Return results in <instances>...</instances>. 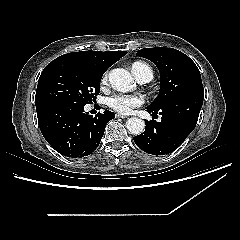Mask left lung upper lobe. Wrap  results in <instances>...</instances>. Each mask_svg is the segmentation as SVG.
<instances>
[{"instance_id":"1","label":"left lung upper lobe","mask_w":240,"mask_h":240,"mask_svg":"<svg viewBox=\"0 0 240 240\" xmlns=\"http://www.w3.org/2000/svg\"><path fill=\"white\" fill-rule=\"evenodd\" d=\"M137 52L152 61L161 75L160 93L149 108L160 109L178 97L203 92L200 72L184 53L164 47L145 48Z\"/></svg>"}]
</instances>
